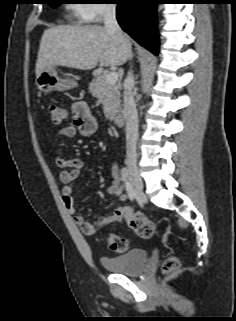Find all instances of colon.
<instances>
[{"label":"colon","mask_w":236,"mask_h":321,"mask_svg":"<svg viewBox=\"0 0 236 321\" xmlns=\"http://www.w3.org/2000/svg\"><path fill=\"white\" fill-rule=\"evenodd\" d=\"M48 111L51 116L52 122L54 124H60L64 119L63 109L54 103L49 104ZM111 220H121L125 219L127 225L134 231V233L143 239H149L157 234V228L155 223L149 219L147 216L140 212H136L131 208L124 207L117 209ZM96 227L93 225L92 233H94ZM107 243L112 251L123 253L129 248V243L127 239L111 233L108 236ZM180 268L179 260L175 257L168 258L162 267V270L167 275H173L178 272Z\"/></svg>","instance_id":"5ec220e1"}]
</instances>
